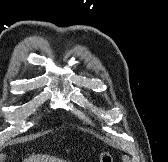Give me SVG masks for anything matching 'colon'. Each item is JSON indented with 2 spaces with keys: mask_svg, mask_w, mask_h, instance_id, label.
<instances>
[{
  "mask_svg": "<svg viewBox=\"0 0 168 162\" xmlns=\"http://www.w3.org/2000/svg\"><path fill=\"white\" fill-rule=\"evenodd\" d=\"M99 162H113V157L109 152H104L100 155Z\"/></svg>",
  "mask_w": 168,
  "mask_h": 162,
  "instance_id": "1",
  "label": "colon"
}]
</instances>
